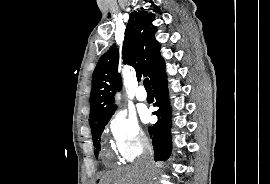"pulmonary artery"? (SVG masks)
<instances>
[{
	"instance_id": "pulmonary-artery-1",
	"label": "pulmonary artery",
	"mask_w": 270,
	"mask_h": 184,
	"mask_svg": "<svg viewBox=\"0 0 270 184\" xmlns=\"http://www.w3.org/2000/svg\"><path fill=\"white\" fill-rule=\"evenodd\" d=\"M136 98L139 101H145L147 99V94L145 90L142 87H139L137 92H136Z\"/></svg>"
}]
</instances>
